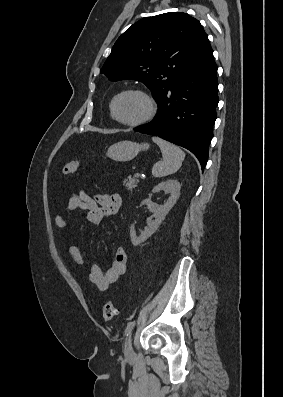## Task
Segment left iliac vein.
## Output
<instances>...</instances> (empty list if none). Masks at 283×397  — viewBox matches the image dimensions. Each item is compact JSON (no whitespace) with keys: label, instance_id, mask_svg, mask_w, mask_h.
I'll return each instance as SVG.
<instances>
[{"label":"left iliac vein","instance_id":"left-iliac-vein-1","mask_svg":"<svg viewBox=\"0 0 283 397\" xmlns=\"http://www.w3.org/2000/svg\"><path fill=\"white\" fill-rule=\"evenodd\" d=\"M134 356V350L132 346V336H131V331L130 335L127 338L126 345H125V358L131 359Z\"/></svg>","mask_w":283,"mask_h":397}]
</instances>
